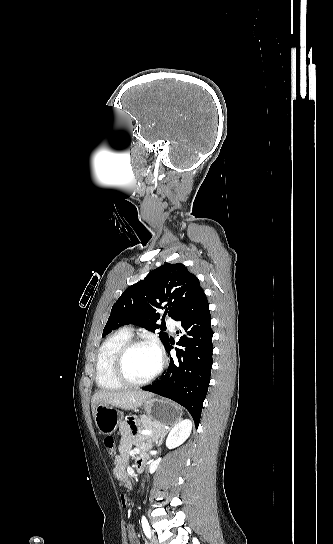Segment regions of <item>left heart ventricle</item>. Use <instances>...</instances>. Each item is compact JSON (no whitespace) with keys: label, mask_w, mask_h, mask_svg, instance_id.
<instances>
[{"label":"left heart ventricle","mask_w":333,"mask_h":544,"mask_svg":"<svg viewBox=\"0 0 333 544\" xmlns=\"http://www.w3.org/2000/svg\"><path fill=\"white\" fill-rule=\"evenodd\" d=\"M159 364L156 350L149 346L133 348L125 362L127 376L134 381H141L154 373Z\"/></svg>","instance_id":"b2bd125f"}]
</instances>
